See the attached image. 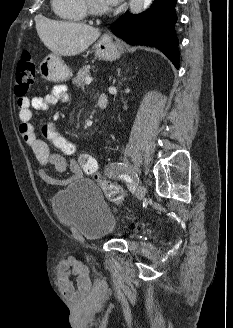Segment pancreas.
Wrapping results in <instances>:
<instances>
[{
  "instance_id": "pancreas-1",
  "label": "pancreas",
  "mask_w": 233,
  "mask_h": 328,
  "mask_svg": "<svg viewBox=\"0 0 233 328\" xmlns=\"http://www.w3.org/2000/svg\"><path fill=\"white\" fill-rule=\"evenodd\" d=\"M89 75H90V66L89 65L84 66L78 71L76 77L73 79V83L77 87H82L86 84L85 80L87 77H89Z\"/></svg>"
}]
</instances>
